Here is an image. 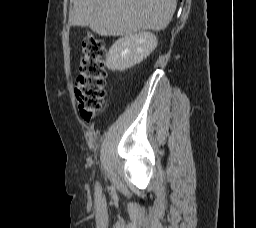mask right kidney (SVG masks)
<instances>
[{"label":"right kidney","mask_w":256,"mask_h":228,"mask_svg":"<svg viewBox=\"0 0 256 228\" xmlns=\"http://www.w3.org/2000/svg\"><path fill=\"white\" fill-rule=\"evenodd\" d=\"M157 38L150 32H139L118 39L106 55V66L115 71L126 70L142 62L157 46Z\"/></svg>","instance_id":"right-kidney-1"}]
</instances>
